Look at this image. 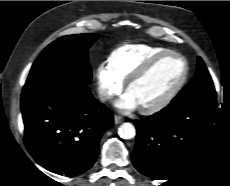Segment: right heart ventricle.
Wrapping results in <instances>:
<instances>
[{
    "label": "right heart ventricle",
    "instance_id": "e07e8e85",
    "mask_svg": "<svg viewBox=\"0 0 230 186\" xmlns=\"http://www.w3.org/2000/svg\"><path fill=\"white\" fill-rule=\"evenodd\" d=\"M165 51H168V49L148 44L123 45L111 52L108 65L124 83L148 59Z\"/></svg>",
    "mask_w": 230,
    "mask_h": 186
}]
</instances>
